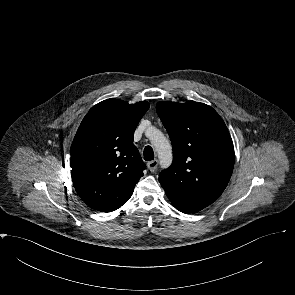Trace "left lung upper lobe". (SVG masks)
I'll list each match as a JSON object with an SVG mask.
<instances>
[{
	"label": "left lung upper lobe",
	"mask_w": 295,
	"mask_h": 295,
	"mask_svg": "<svg viewBox=\"0 0 295 295\" xmlns=\"http://www.w3.org/2000/svg\"><path fill=\"white\" fill-rule=\"evenodd\" d=\"M157 113L169 133L172 165L159 181L173 206L194 213L216 201L234 167V147L228 129L210 106L190 101H163Z\"/></svg>",
	"instance_id": "1"
}]
</instances>
